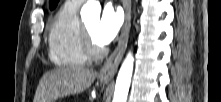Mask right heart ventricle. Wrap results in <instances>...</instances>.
Instances as JSON below:
<instances>
[{
	"instance_id": "right-heart-ventricle-1",
	"label": "right heart ventricle",
	"mask_w": 221,
	"mask_h": 102,
	"mask_svg": "<svg viewBox=\"0 0 221 102\" xmlns=\"http://www.w3.org/2000/svg\"><path fill=\"white\" fill-rule=\"evenodd\" d=\"M81 3L67 0L54 16L48 32L49 57L60 67H79L86 63L78 9Z\"/></svg>"
}]
</instances>
